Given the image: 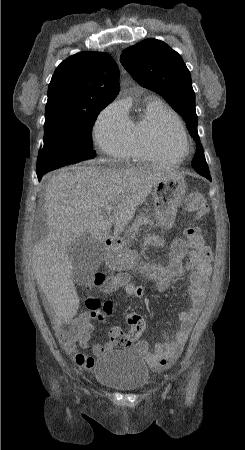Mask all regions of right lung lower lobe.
Segmentation results:
<instances>
[{"mask_svg": "<svg viewBox=\"0 0 245 450\" xmlns=\"http://www.w3.org/2000/svg\"><path fill=\"white\" fill-rule=\"evenodd\" d=\"M46 172H37V177L40 180L43 176V174H45Z\"/></svg>", "mask_w": 245, "mask_h": 450, "instance_id": "1", "label": "right lung lower lobe"}]
</instances>
